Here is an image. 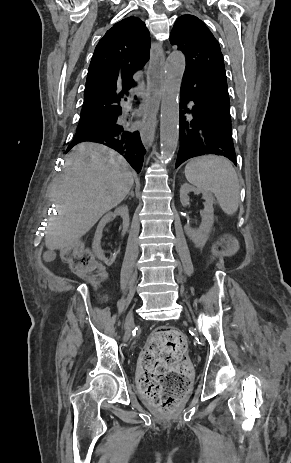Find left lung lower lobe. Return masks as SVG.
I'll list each match as a JSON object with an SVG mask.
<instances>
[{
  "label": "left lung lower lobe",
  "instance_id": "obj_1",
  "mask_svg": "<svg viewBox=\"0 0 291 463\" xmlns=\"http://www.w3.org/2000/svg\"><path fill=\"white\" fill-rule=\"evenodd\" d=\"M179 115V140L175 168L184 161L208 154L227 157L236 165L235 149L231 134V119L221 116L195 97L181 91ZM188 101L193 102L191 110L186 108ZM191 113L192 118L184 116Z\"/></svg>",
  "mask_w": 291,
  "mask_h": 463
}]
</instances>
